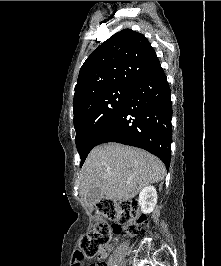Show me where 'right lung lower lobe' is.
Returning a JSON list of instances; mask_svg holds the SVG:
<instances>
[{"label":"right lung lower lobe","mask_w":221,"mask_h":266,"mask_svg":"<svg viewBox=\"0 0 221 266\" xmlns=\"http://www.w3.org/2000/svg\"><path fill=\"white\" fill-rule=\"evenodd\" d=\"M171 90L160 66L138 81L118 116L99 136L96 145L118 142L147 150L166 167L171 159Z\"/></svg>","instance_id":"obj_1"}]
</instances>
